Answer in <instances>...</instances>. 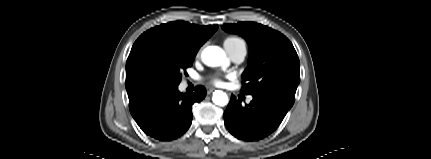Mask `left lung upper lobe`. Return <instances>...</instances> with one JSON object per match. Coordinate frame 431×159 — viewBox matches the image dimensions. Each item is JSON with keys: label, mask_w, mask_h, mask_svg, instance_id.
<instances>
[{"label": "left lung upper lobe", "mask_w": 431, "mask_h": 159, "mask_svg": "<svg viewBox=\"0 0 431 159\" xmlns=\"http://www.w3.org/2000/svg\"><path fill=\"white\" fill-rule=\"evenodd\" d=\"M222 28L242 36L249 44V64L242 75L246 83L241 92L272 93L294 102L300 82V63L288 38L255 22L224 24Z\"/></svg>", "instance_id": "1"}]
</instances>
